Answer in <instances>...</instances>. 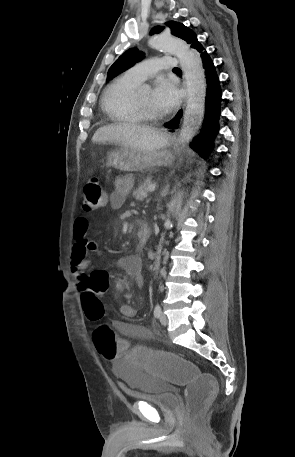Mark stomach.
<instances>
[{"label": "stomach", "instance_id": "1", "mask_svg": "<svg viewBox=\"0 0 295 457\" xmlns=\"http://www.w3.org/2000/svg\"><path fill=\"white\" fill-rule=\"evenodd\" d=\"M107 166L121 171H141L154 166H167L173 157L166 150L139 152L131 148L120 147L108 153Z\"/></svg>", "mask_w": 295, "mask_h": 457}]
</instances>
